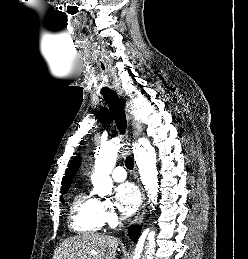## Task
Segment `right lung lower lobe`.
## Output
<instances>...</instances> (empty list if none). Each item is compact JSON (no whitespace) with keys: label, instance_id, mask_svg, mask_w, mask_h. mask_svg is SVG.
<instances>
[{"label":"right lung lower lobe","instance_id":"obj_1","mask_svg":"<svg viewBox=\"0 0 248 259\" xmlns=\"http://www.w3.org/2000/svg\"><path fill=\"white\" fill-rule=\"evenodd\" d=\"M141 226H131L129 228V236L132 239V241L136 242L139 235H140Z\"/></svg>","mask_w":248,"mask_h":259}]
</instances>
